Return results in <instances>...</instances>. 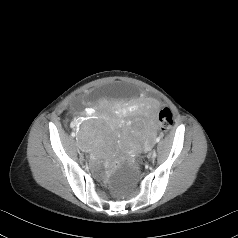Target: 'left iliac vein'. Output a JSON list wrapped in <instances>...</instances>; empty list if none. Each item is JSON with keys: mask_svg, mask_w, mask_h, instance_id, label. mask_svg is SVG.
<instances>
[{"mask_svg": "<svg viewBox=\"0 0 238 238\" xmlns=\"http://www.w3.org/2000/svg\"><path fill=\"white\" fill-rule=\"evenodd\" d=\"M156 152H157V149H153V153L150 154V159L151 160H154L155 157H156Z\"/></svg>", "mask_w": 238, "mask_h": 238, "instance_id": "1", "label": "left iliac vein"}]
</instances>
